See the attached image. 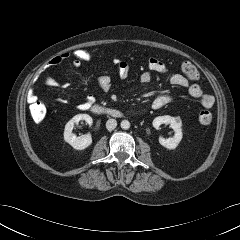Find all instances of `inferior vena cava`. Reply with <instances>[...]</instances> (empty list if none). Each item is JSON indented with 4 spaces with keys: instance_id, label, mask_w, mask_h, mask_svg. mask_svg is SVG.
I'll return each mask as SVG.
<instances>
[{
    "instance_id": "obj_1",
    "label": "inferior vena cava",
    "mask_w": 240,
    "mask_h": 240,
    "mask_svg": "<svg viewBox=\"0 0 240 240\" xmlns=\"http://www.w3.org/2000/svg\"><path fill=\"white\" fill-rule=\"evenodd\" d=\"M117 126V121L115 119H109L106 122V128L111 131L114 130Z\"/></svg>"
}]
</instances>
